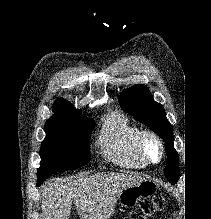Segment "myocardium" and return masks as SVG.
<instances>
[{
  "instance_id": "obj_1",
  "label": "myocardium",
  "mask_w": 211,
  "mask_h": 219,
  "mask_svg": "<svg viewBox=\"0 0 211 219\" xmlns=\"http://www.w3.org/2000/svg\"><path fill=\"white\" fill-rule=\"evenodd\" d=\"M152 141L158 147V157L156 159L150 157L146 151V144ZM137 151L141 158L149 165L160 163L165 154V146L161 137L152 130H143L140 132L137 139Z\"/></svg>"
}]
</instances>
